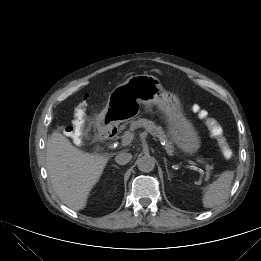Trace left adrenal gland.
<instances>
[{"mask_svg":"<svg viewBox=\"0 0 261 261\" xmlns=\"http://www.w3.org/2000/svg\"><path fill=\"white\" fill-rule=\"evenodd\" d=\"M164 164H165L166 172H167V175H168V179L171 180V175H170L168 167H167V160H166V158H164Z\"/></svg>","mask_w":261,"mask_h":261,"instance_id":"left-adrenal-gland-1","label":"left adrenal gland"}]
</instances>
